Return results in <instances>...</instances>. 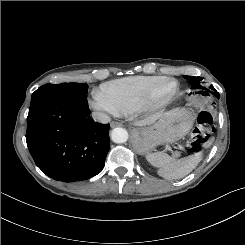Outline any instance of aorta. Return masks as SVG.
I'll return each instance as SVG.
<instances>
[{
	"mask_svg": "<svg viewBox=\"0 0 245 245\" xmlns=\"http://www.w3.org/2000/svg\"><path fill=\"white\" fill-rule=\"evenodd\" d=\"M111 139L115 143H124L128 140V132L121 127L114 128L111 131Z\"/></svg>",
	"mask_w": 245,
	"mask_h": 245,
	"instance_id": "762f6f07",
	"label": "aorta"
}]
</instances>
